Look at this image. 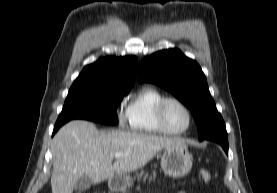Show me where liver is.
I'll return each instance as SVG.
<instances>
[{
  "label": "liver",
  "mask_w": 277,
  "mask_h": 193,
  "mask_svg": "<svg viewBox=\"0 0 277 193\" xmlns=\"http://www.w3.org/2000/svg\"><path fill=\"white\" fill-rule=\"evenodd\" d=\"M186 146L183 140L146 133L98 131L88 121L74 120L53 138L52 193H72L78 179L87 176L95 184L145 166L158 152ZM128 154L116 158L114 154Z\"/></svg>",
  "instance_id": "1"
}]
</instances>
